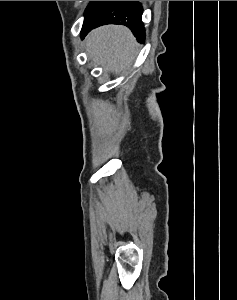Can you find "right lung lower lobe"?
<instances>
[{
    "mask_svg": "<svg viewBox=\"0 0 237 300\" xmlns=\"http://www.w3.org/2000/svg\"><path fill=\"white\" fill-rule=\"evenodd\" d=\"M143 8L138 1H116L96 22L82 28L84 37L92 29L105 24H122L131 29L139 42L145 39V29L141 20Z\"/></svg>",
    "mask_w": 237,
    "mask_h": 300,
    "instance_id": "obj_1",
    "label": "right lung lower lobe"
}]
</instances>
